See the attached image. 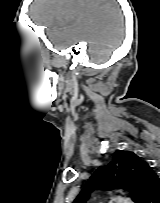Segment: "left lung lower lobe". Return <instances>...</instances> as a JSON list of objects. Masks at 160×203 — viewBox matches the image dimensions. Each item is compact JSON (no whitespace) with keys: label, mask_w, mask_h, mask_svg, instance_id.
Here are the masks:
<instances>
[{"label":"left lung lower lobe","mask_w":160,"mask_h":203,"mask_svg":"<svg viewBox=\"0 0 160 203\" xmlns=\"http://www.w3.org/2000/svg\"><path fill=\"white\" fill-rule=\"evenodd\" d=\"M148 203H160V178L158 179Z\"/></svg>","instance_id":"obj_1"}]
</instances>
